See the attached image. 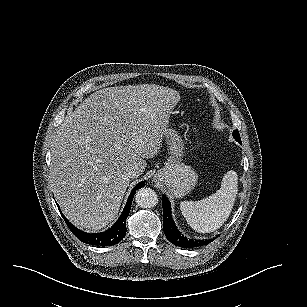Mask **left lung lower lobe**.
<instances>
[{
	"mask_svg": "<svg viewBox=\"0 0 307 307\" xmlns=\"http://www.w3.org/2000/svg\"><path fill=\"white\" fill-rule=\"evenodd\" d=\"M163 205V221H164V233L166 238L176 246L182 248H193L202 245H207L216 239L209 240H188L186 239L179 230L176 228L175 223L171 216L170 202L167 197L162 196ZM218 237V236H217Z\"/></svg>",
	"mask_w": 307,
	"mask_h": 307,
	"instance_id": "1",
	"label": "left lung lower lobe"
}]
</instances>
